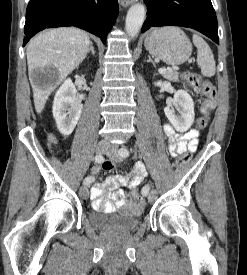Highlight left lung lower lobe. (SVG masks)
<instances>
[{
	"label": "left lung lower lobe",
	"mask_w": 247,
	"mask_h": 275,
	"mask_svg": "<svg viewBox=\"0 0 247 275\" xmlns=\"http://www.w3.org/2000/svg\"><path fill=\"white\" fill-rule=\"evenodd\" d=\"M147 18L141 32L150 27L182 26L195 29L219 44L218 25L211 0H144Z\"/></svg>",
	"instance_id": "left-lung-lower-lobe-1"
}]
</instances>
